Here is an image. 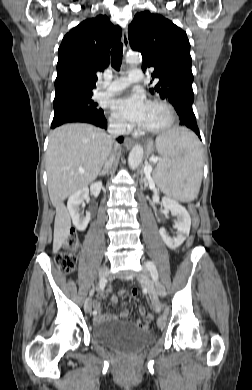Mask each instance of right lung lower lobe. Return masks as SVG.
Instances as JSON below:
<instances>
[{"label":"right lung lower lobe","instance_id":"1","mask_svg":"<svg viewBox=\"0 0 252 390\" xmlns=\"http://www.w3.org/2000/svg\"><path fill=\"white\" fill-rule=\"evenodd\" d=\"M70 122H85L94 124L101 128H107V121L103 113H92L83 110L69 109L54 112V118L51 124V128H55L64 123ZM118 142L123 141V137H118Z\"/></svg>","mask_w":252,"mask_h":390}]
</instances>
